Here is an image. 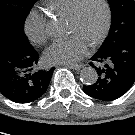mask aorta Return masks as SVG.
Instances as JSON below:
<instances>
[{
    "mask_svg": "<svg viewBox=\"0 0 135 135\" xmlns=\"http://www.w3.org/2000/svg\"><path fill=\"white\" fill-rule=\"evenodd\" d=\"M48 32L53 37H61L62 30L56 26H49ZM80 79L84 84L92 85L98 79V74L92 67H85L81 70Z\"/></svg>",
    "mask_w": 135,
    "mask_h": 135,
    "instance_id": "762f6f07",
    "label": "aorta"
}]
</instances>
